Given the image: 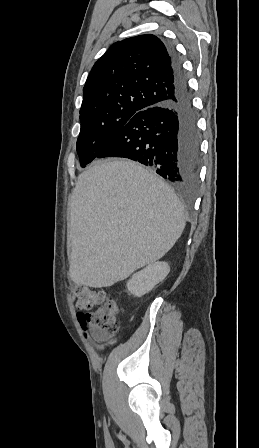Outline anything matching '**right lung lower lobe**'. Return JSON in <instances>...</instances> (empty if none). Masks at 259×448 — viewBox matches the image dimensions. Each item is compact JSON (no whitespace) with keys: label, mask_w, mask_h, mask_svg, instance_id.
<instances>
[{"label":"right lung lower lobe","mask_w":259,"mask_h":448,"mask_svg":"<svg viewBox=\"0 0 259 448\" xmlns=\"http://www.w3.org/2000/svg\"><path fill=\"white\" fill-rule=\"evenodd\" d=\"M174 71V95L134 115L97 158L124 157L151 166L176 185L196 183L200 135L181 62L168 46Z\"/></svg>","instance_id":"98d812e1"}]
</instances>
